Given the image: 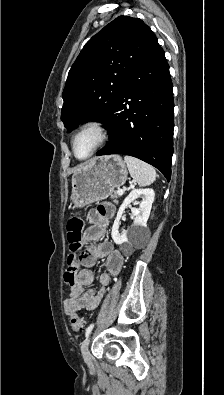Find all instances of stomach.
<instances>
[{
    "instance_id": "stomach-1",
    "label": "stomach",
    "mask_w": 224,
    "mask_h": 395,
    "mask_svg": "<svg viewBox=\"0 0 224 395\" xmlns=\"http://www.w3.org/2000/svg\"><path fill=\"white\" fill-rule=\"evenodd\" d=\"M125 162L118 155L90 160L72 175L71 201L75 208L109 197L127 179Z\"/></svg>"
}]
</instances>
